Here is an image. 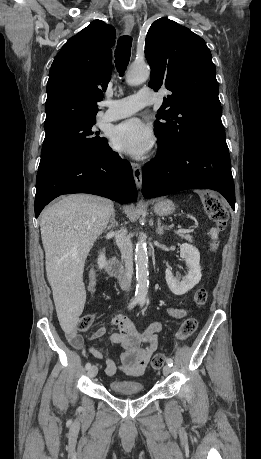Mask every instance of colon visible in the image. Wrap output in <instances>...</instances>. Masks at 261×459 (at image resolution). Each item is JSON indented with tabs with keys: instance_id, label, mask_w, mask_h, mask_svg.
<instances>
[{
	"instance_id": "colon-1",
	"label": "colon",
	"mask_w": 261,
	"mask_h": 459,
	"mask_svg": "<svg viewBox=\"0 0 261 459\" xmlns=\"http://www.w3.org/2000/svg\"><path fill=\"white\" fill-rule=\"evenodd\" d=\"M201 199L208 214L210 220L214 224L217 231H222L227 225L229 220V212L224 206L222 201L212 192H204L201 195ZM215 246L214 243L211 244ZM208 299V292L205 288L201 287L196 290L194 294V302L197 306H203ZM94 315L84 314L82 315L76 324V330L79 332L87 331L93 324ZM198 321L196 318L189 317L185 319L180 325L178 331L175 334V343L178 344L187 338H189L197 329ZM166 360L164 353H157L151 359V366L153 369H160Z\"/></svg>"
}]
</instances>
